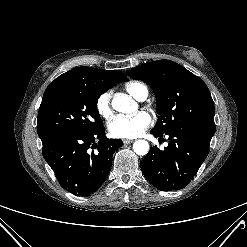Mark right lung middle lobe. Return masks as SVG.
Here are the masks:
<instances>
[{
  "mask_svg": "<svg viewBox=\"0 0 247 247\" xmlns=\"http://www.w3.org/2000/svg\"><path fill=\"white\" fill-rule=\"evenodd\" d=\"M106 91L95 85H73L43 97L37 122L41 141L67 133L92 132L102 127L96 105Z\"/></svg>",
  "mask_w": 247,
  "mask_h": 247,
  "instance_id": "obj_1",
  "label": "right lung middle lobe"
}]
</instances>
